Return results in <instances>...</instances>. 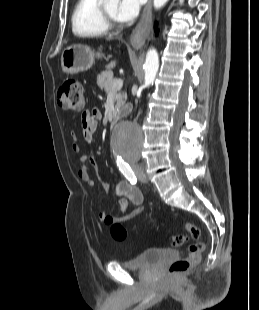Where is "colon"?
I'll return each mask as SVG.
<instances>
[{"label": "colon", "mask_w": 259, "mask_h": 310, "mask_svg": "<svg viewBox=\"0 0 259 310\" xmlns=\"http://www.w3.org/2000/svg\"><path fill=\"white\" fill-rule=\"evenodd\" d=\"M58 106L66 111L82 112L85 106V98L81 83L76 79H66L57 93ZM184 230L193 238L199 239L201 231L199 227L191 223L184 224ZM112 237L117 241H123L127 237V231L121 221L112 223L110 229ZM187 237L182 234L174 235L171 238L172 247H180L185 244ZM204 245L201 242L192 243L188 246L187 256L175 260L169 267L170 275H179L195 266L199 260Z\"/></svg>", "instance_id": "5ec220e1"}]
</instances>
